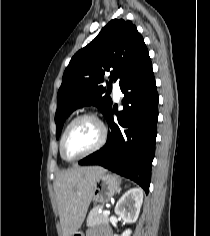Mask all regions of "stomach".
<instances>
[{
	"instance_id": "stomach-1",
	"label": "stomach",
	"mask_w": 210,
	"mask_h": 236,
	"mask_svg": "<svg viewBox=\"0 0 210 236\" xmlns=\"http://www.w3.org/2000/svg\"><path fill=\"white\" fill-rule=\"evenodd\" d=\"M119 180L113 175L103 174L97 178L91 200L95 203L104 204L119 190ZM73 236H84L82 232H76Z\"/></svg>"
}]
</instances>
